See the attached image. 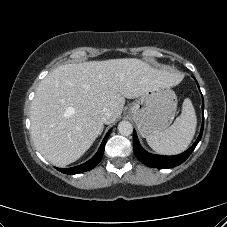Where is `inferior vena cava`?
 <instances>
[{"mask_svg": "<svg viewBox=\"0 0 227 227\" xmlns=\"http://www.w3.org/2000/svg\"><path fill=\"white\" fill-rule=\"evenodd\" d=\"M112 118V112L107 109L103 108L102 113H101V120L103 123L108 124L109 120Z\"/></svg>", "mask_w": 227, "mask_h": 227, "instance_id": "602c4592", "label": "inferior vena cava"}]
</instances>
